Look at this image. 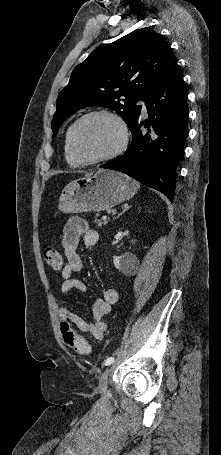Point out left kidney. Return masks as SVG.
Segmentation results:
<instances>
[{"label": "left kidney", "instance_id": "1", "mask_svg": "<svg viewBox=\"0 0 221 455\" xmlns=\"http://www.w3.org/2000/svg\"><path fill=\"white\" fill-rule=\"evenodd\" d=\"M136 260V256L129 252L113 257L114 266L119 270H128L134 265Z\"/></svg>", "mask_w": 221, "mask_h": 455}]
</instances>
